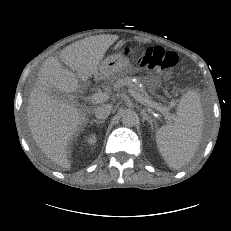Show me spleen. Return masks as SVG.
Segmentation results:
<instances>
[{"mask_svg":"<svg viewBox=\"0 0 231 231\" xmlns=\"http://www.w3.org/2000/svg\"><path fill=\"white\" fill-rule=\"evenodd\" d=\"M203 132V113L196 92H187L178 104L177 116L156 132V143L170 168L180 169L194 157Z\"/></svg>","mask_w":231,"mask_h":231,"instance_id":"1","label":"spleen"}]
</instances>
